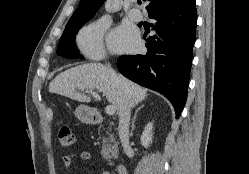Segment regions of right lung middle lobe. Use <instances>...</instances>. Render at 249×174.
Segmentation results:
<instances>
[{"mask_svg": "<svg viewBox=\"0 0 249 174\" xmlns=\"http://www.w3.org/2000/svg\"><path fill=\"white\" fill-rule=\"evenodd\" d=\"M86 21H80V22H72L68 23L65 27L64 33L60 38L59 45L57 48V54L59 56H62L64 58H81L83 57L80 55L79 51L77 50L76 44H75V36L78 33L79 29L83 26Z\"/></svg>", "mask_w": 249, "mask_h": 174, "instance_id": "dd1d6c3e", "label": "right lung middle lobe"}]
</instances>
